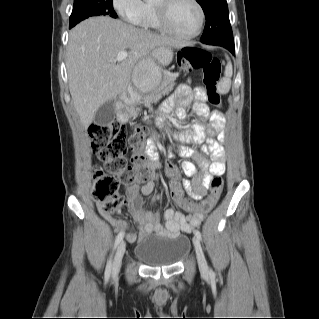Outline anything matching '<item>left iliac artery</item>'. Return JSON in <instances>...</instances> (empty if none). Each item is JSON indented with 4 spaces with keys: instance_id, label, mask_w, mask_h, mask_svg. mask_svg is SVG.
I'll return each instance as SVG.
<instances>
[{
    "instance_id": "left-iliac-artery-1",
    "label": "left iliac artery",
    "mask_w": 319,
    "mask_h": 319,
    "mask_svg": "<svg viewBox=\"0 0 319 319\" xmlns=\"http://www.w3.org/2000/svg\"><path fill=\"white\" fill-rule=\"evenodd\" d=\"M194 234H195V236H196L199 240L202 239V238H201V233H200L199 230H195V231H194ZM209 273H210V275H214V272H213L212 269H210Z\"/></svg>"
}]
</instances>
